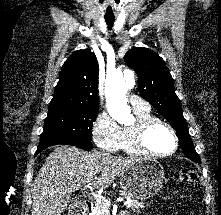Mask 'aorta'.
<instances>
[{
	"mask_svg": "<svg viewBox=\"0 0 221 215\" xmlns=\"http://www.w3.org/2000/svg\"><path fill=\"white\" fill-rule=\"evenodd\" d=\"M134 85V78L126 82L120 71L107 76L105 83L107 109L110 116L120 124H129L134 120L126 99L128 89Z\"/></svg>",
	"mask_w": 221,
	"mask_h": 215,
	"instance_id": "1",
	"label": "aorta"
}]
</instances>
